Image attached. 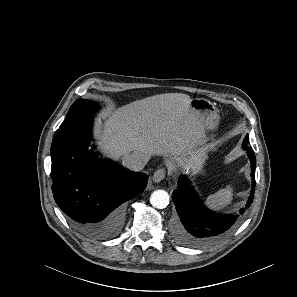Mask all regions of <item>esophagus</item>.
I'll return each instance as SVG.
<instances>
[{"label": "esophagus", "mask_w": 297, "mask_h": 297, "mask_svg": "<svg viewBox=\"0 0 297 297\" xmlns=\"http://www.w3.org/2000/svg\"><path fill=\"white\" fill-rule=\"evenodd\" d=\"M165 176L166 171L163 168H160L154 172L152 179L155 183H159L165 178Z\"/></svg>", "instance_id": "obj_1"}]
</instances>
